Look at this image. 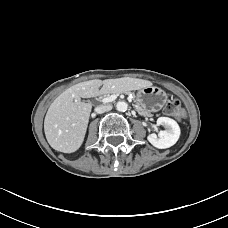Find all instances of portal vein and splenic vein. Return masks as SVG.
<instances>
[{
  "label": "portal vein and splenic vein",
  "instance_id": "portal-vein-and-splenic-vein-1",
  "mask_svg": "<svg viewBox=\"0 0 228 228\" xmlns=\"http://www.w3.org/2000/svg\"><path fill=\"white\" fill-rule=\"evenodd\" d=\"M116 98H117V95L113 94V95H110L108 97L103 98L102 102L103 103H109V102L114 101Z\"/></svg>",
  "mask_w": 228,
  "mask_h": 228
}]
</instances>
